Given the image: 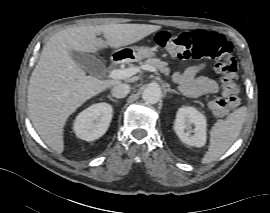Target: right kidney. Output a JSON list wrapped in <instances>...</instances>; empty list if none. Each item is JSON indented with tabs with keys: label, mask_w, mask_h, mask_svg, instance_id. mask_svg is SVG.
<instances>
[{
	"label": "right kidney",
	"mask_w": 270,
	"mask_h": 213,
	"mask_svg": "<svg viewBox=\"0 0 270 213\" xmlns=\"http://www.w3.org/2000/svg\"><path fill=\"white\" fill-rule=\"evenodd\" d=\"M113 108L108 103H96L82 111L74 121V132L82 140L94 141L107 131Z\"/></svg>",
	"instance_id": "obj_1"
}]
</instances>
